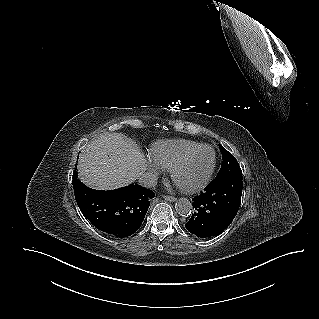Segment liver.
Wrapping results in <instances>:
<instances>
[{"instance_id":"liver-1","label":"liver","mask_w":319,"mask_h":319,"mask_svg":"<svg viewBox=\"0 0 319 319\" xmlns=\"http://www.w3.org/2000/svg\"><path fill=\"white\" fill-rule=\"evenodd\" d=\"M137 144L121 133H108L92 140L78 161L79 177L89 187L110 190L126 186L146 170Z\"/></svg>"}]
</instances>
